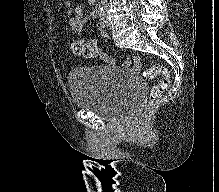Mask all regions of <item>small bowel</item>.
<instances>
[{
    "label": "small bowel",
    "mask_w": 219,
    "mask_h": 192,
    "mask_svg": "<svg viewBox=\"0 0 219 192\" xmlns=\"http://www.w3.org/2000/svg\"><path fill=\"white\" fill-rule=\"evenodd\" d=\"M95 0H90L91 3H93ZM66 6L70 9V12L72 13L70 18V27L72 31L76 34H81L83 30V26L87 21L93 20L96 18V13L93 11L89 13V15H84V7L82 5H77L73 10H71L70 2H66ZM100 32L102 37H107V32L100 27ZM132 72H136L137 68L134 67L131 69Z\"/></svg>",
    "instance_id": "1"
}]
</instances>
